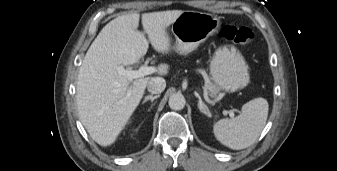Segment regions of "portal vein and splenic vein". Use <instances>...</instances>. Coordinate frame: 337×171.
I'll use <instances>...</instances> for the list:
<instances>
[{
  "instance_id": "portal-vein-and-splenic-vein-1",
  "label": "portal vein and splenic vein",
  "mask_w": 337,
  "mask_h": 171,
  "mask_svg": "<svg viewBox=\"0 0 337 171\" xmlns=\"http://www.w3.org/2000/svg\"><path fill=\"white\" fill-rule=\"evenodd\" d=\"M117 71L120 75L124 76L129 81H132L133 79L141 78V77H144L146 75H150V74H153V73L157 72V68L152 67V66L142 65V66H140V68L138 70H127L123 66H118ZM229 115H230V117L233 118L234 112L231 111L229 113Z\"/></svg>"
}]
</instances>
